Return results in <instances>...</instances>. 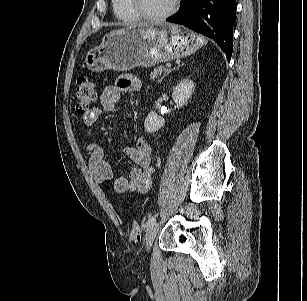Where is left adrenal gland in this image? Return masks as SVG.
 Masks as SVG:
<instances>
[{"instance_id": "a2214340", "label": "left adrenal gland", "mask_w": 307, "mask_h": 301, "mask_svg": "<svg viewBox=\"0 0 307 301\" xmlns=\"http://www.w3.org/2000/svg\"><path fill=\"white\" fill-rule=\"evenodd\" d=\"M174 69H175V68H174ZM168 73H169V72H168ZM168 73H167V74H168ZM167 74H165L161 79H163Z\"/></svg>"}]
</instances>
